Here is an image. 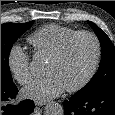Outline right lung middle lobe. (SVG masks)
I'll use <instances>...</instances> for the list:
<instances>
[{
    "instance_id": "dd1d6c3e",
    "label": "right lung middle lobe",
    "mask_w": 115,
    "mask_h": 115,
    "mask_svg": "<svg viewBox=\"0 0 115 115\" xmlns=\"http://www.w3.org/2000/svg\"><path fill=\"white\" fill-rule=\"evenodd\" d=\"M33 22L1 24V85L13 84L9 68L10 50L14 42L33 25Z\"/></svg>"
}]
</instances>
